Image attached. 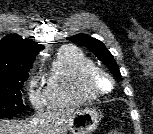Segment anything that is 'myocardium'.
I'll use <instances>...</instances> for the list:
<instances>
[{"label":"myocardium","mask_w":153,"mask_h":134,"mask_svg":"<svg viewBox=\"0 0 153 134\" xmlns=\"http://www.w3.org/2000/svg\"><path fill=\"white\" fill-rule=\"evenodd\" d=\"M98 76H103L109 81L110 87L107 90H102L97 87L96 80ZM84 85L89 93L98 97L111 93L114 89L115 81L110 73L103 68L94 65L85 72Z\"/></svg>","instance_id":"f54148a6"}]
</instances>
